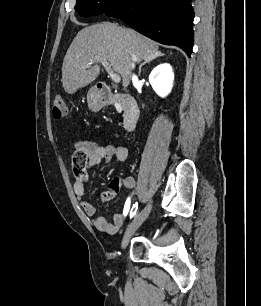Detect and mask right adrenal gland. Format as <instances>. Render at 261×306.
Instances as JSON below:
<instances>
[{"mask_svg":"<svg viewBox=\"0 0 261 306\" xmlns=\"http://www.w3.org/2000/svg\"><path fill=\"white\" fill-rule=\"evenodd\" d=\"M161 56H164V54H162L161 52H159V53H157L154 57H152L151 59H148V60H145L140 66H139V76H140V74H141V69H142V67L144 66V65H146V64H148V63H150V62H152L153 60H155L156 58H158V57H161Z\"/></svg>","mask_w":261,"mask_h":306,"instance_id":"2a0ac1e0","label":"right adrenal gland"}]
</instances>
